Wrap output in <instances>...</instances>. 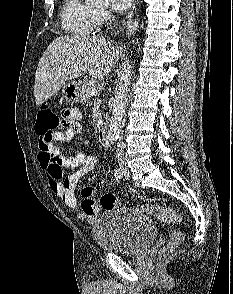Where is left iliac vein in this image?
<instances>
[{"label": "left iliac vein", "mask_w": 233, "mask_h": 294, "mask_svg": "<svg viewBox=\"0 0 233 294\" xmlns=\"http://www.w3.org/2000/svg\"><path fill=\"white\" fill-rule=\"evenodd\" d=\"M123 173H124L125 179H129L130 178V173H129V171H128L127 168L124 169Z\"/></svg>", "instance_id": "left-iliac-vein-1"}]
</instances>
